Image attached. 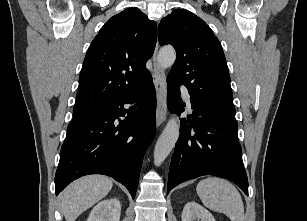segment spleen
Instances as JSON below:
<instances>
[{
	"instance_id": "obj_1",
	"label": "spleen",
	"mask_w": 307,
	"mask_h": 221,
	"mask_svg": "<svg viewBox=\"0 0 307 221\" xmlns=\"http://www.w3.org/2000/svg\"><path fill=\"white\" fill-rule=\"evenodd\" d=\"M204 206L222 212L231 221H243L244 205L240 193L233 184L217 177L201 180L196 187Z\"/></svg>"
}]
</instances>
